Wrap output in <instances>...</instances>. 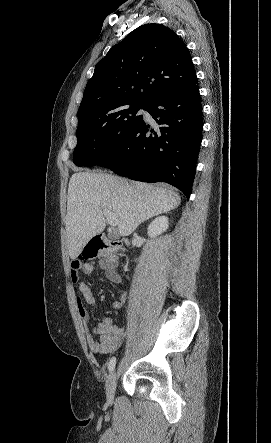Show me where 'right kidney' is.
<instances>
[{
  "instance_id": "right-kidney-1",
  "label": "right kidney",
  "mask_w": 271,
  "mask_h": 443,
  "mask_svg": "<svg viewBox=\"0 0 271 443\" xmlns=\"http://www.w3.org/2000/svg\"><path fill=\"white\" fill-rule=\"evenodd\" d=\"M149 237H156V235H160L163 231L168 229V218L166 216H159V218H155L153 222L149 223L147 227Z\"/></svg>"
}]
</instances>
